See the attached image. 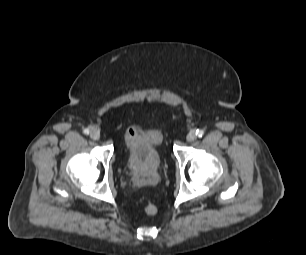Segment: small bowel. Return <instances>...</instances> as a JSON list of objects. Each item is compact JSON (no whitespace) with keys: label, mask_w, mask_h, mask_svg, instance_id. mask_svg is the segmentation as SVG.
Wrapping results in <instances>:
<instances>
[{"label":"small bowel","mask_w":306,"mask_h":255,"mask_svg":"<svg viewBox=\"0 0 306 255\" xmlns=\"http://www.w3.org/2000/svg\"><path fill=\"white\" fill-rule=\"evenodd\" d=\"M128 135H131V136H136L139 134V128L138 127H131L128 132H127Z\"/></svg>","instance_id":"small-bowel-1"}]
</instances>
